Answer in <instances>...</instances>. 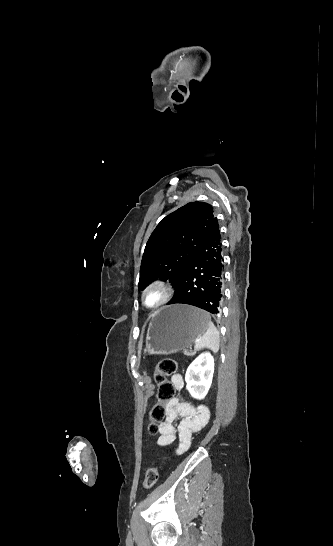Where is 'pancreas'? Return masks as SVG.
Instances as JSON below:
<instances>
[{"instance_id": "pancreas-1", "label": "pancreas", "mask_w": 333, "mask_h": 546, "mask_svg": "<svg viewBox=\"0 0 333 546\" xmlns=\"http://www.w3.org/2000/svg\"><path fill=\"white\" fill-rule=\"evenodd\" d=\"M183 353H184V355H187V356H192V355H194V352L188 351L187 349H183Z\"/></svg>"}]
</instances>
